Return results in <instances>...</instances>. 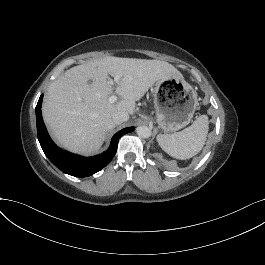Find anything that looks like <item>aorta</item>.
<instances>
[{"label":"aorta","instance_id":"aorta-1","mask_svg":"<svg viewBox=\"0 0 265 265\" xmlns=\"http://www.w3.org/2000/svg\"><path fill=\"white\" fill-rule=\"evenodd\" d=\"M136 131L138 136L141 138H149L152 133L151 128L148 126H138Z\"/></svg>","mask_w":265,"mask_h":265}]
</instances>
